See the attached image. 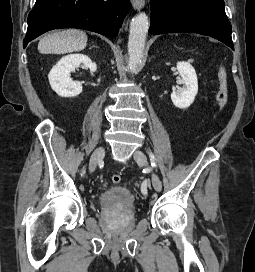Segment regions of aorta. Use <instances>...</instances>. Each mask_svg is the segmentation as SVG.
<instances>
[{
  "instance_id": "762f6f07",
  "label": "aorta",
  "mask_w": 255,
  "mask_h": 272,
  "mask_svg": "<svg viewBox=\"0 0 255 272\" xmlns=\"http://www.w3.org/2000/svg\"><path fill=\"white\" fill-rule=\"evenodd\" d=\"M148 29V16L144 12L137 14L131 20L128 39V55L129 68L133 72H136L138 65L141 63Z\"/></svg>"
}]
</instances>
